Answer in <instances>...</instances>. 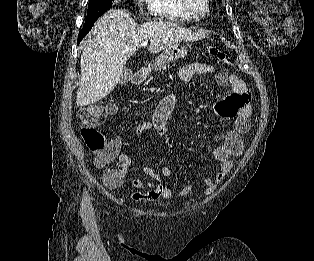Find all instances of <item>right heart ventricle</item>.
Listing matches in <instances>:
<instances>
[{
	"label": "right heart ventricle",
	"mask_w": 314,
	"mask_h": 261,
	"mask_svg": "<svg viewBox=\"0 0 314 261\" xmlns=\"http://www.w3.org/2000/svg\"><path fill=\"white\" fill-rule=\"evenodd\" d=\"M146 5L148 11L156 17L184 21L196 18L183 7L181 0H146Z\"/></svg>",
	"instance_id": "obj_1"
}]
</instances>
